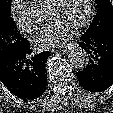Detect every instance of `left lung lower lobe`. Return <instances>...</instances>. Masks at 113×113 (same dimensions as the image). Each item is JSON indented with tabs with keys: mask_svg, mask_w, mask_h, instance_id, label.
Here are the masks:
<instances>
[{
	"mask_svg": "<svg viewBox=\"0 0 113 113\" xmlns=\"http://www.w3.org/2000/svg\"><path fill=\"white\" fill-rule=\"evenodd\" d=\"M80 46L89 56L85 70L77 73L80 85L90 92H101L113 84V29L84 33Z\"/></svg>",
	"mask_w": 113,
	"mask_h": 113,
	"instance_id": "0a47b994",
	"label": "left lung lower lobe"
}]
</instances>
